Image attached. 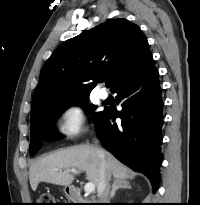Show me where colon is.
<instances>
[{
  "label": "colon",
  "instance_id": "obj_1",
  "mask_svg": "<svg viewBox=\"0 0 200 205\" xmlns=\"http://www.w3.org/2000/svg\"><path fill=\"white\" fill-rule=\"evenodd\" d=\"M53 197L49 194H43L39 198L38 205H53Z\"/></svg>",
  "mask_w": 200,
  "mask_h": 205
}]
</instances>
